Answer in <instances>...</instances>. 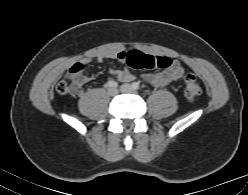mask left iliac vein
<instances>
[{
	"label": "left iliac vein",
	"instance_id": "4c4485c4",
	"mask_svg": "<svg viewBox=\"0 0 248 195\" xmlns=\"http://www.w3.org/2000/svg\"><path fill=\"white\" fill-rule=\"evenodd\" d=\"M120 91L123 93L136 94V90L129 84H123L120 86Z\"/></svg>",
	"mask_w": 248,
	"mask_h": 195
}]
</instances>
